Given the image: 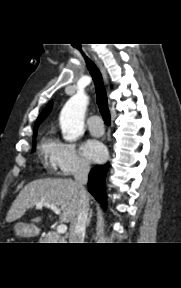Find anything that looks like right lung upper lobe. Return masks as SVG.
Returning <instances> with one entry per match:
<instances>
[{
    "instance_id": "1",
    "label": "right lung upper lobe",
    "mask_w": 181,
    "mask_h": 288,
    "mask_svg": "<svg viewBox=\"0 0 181 288\" xmlns=\"http://www.w3.org/2000/svg\"><path fill=\"white\" fill-rule=\"evenodd\" d=\"M52 107V102H49L48 105L45 107V109L42 111V113L39 115V117L36 120L35 127H34V139L36 137V131L38 128V125L47 117V115L50 113Z\"/></svg>"
}]
</instances>
